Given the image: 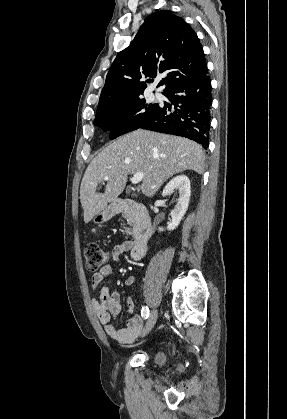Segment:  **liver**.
Wrapping results in <instances>:
<instances>
[{
    "label": "liver",
    "mask_w": 287,
    "mask_h": 419,
    "mask_svg": "<svg viewBox=\"0 0 287 419\" xmlns=\"http://www.w3.org/2000/svg\"><path fill=\"white\" fill-rule=\"evenodd\" d=\"M205 155L198 143L179 136L138 129L106 146L88 165L80 187L84 222L104 210L124 190L127 176L142 172L141 191L153 196L175 174L204 172ZM108 176L104 193L96 192Z\"/></svg>",
    "instance_id": "liver-1"
}]
</instances>
